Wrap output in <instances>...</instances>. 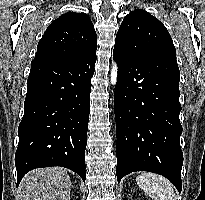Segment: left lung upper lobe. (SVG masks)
I'll list each match as a JSON object with an SVG mask.
<instances>
[{
	"instance_id": "5c2ea615",
	"label": "left lung upper lobe",
	"mask_w": 205,
	"mask_h": 200,
	"mask_svg": "<svg viewBox=\"0 0 205 200\" xmlns=\"http://www.w3.org/2000/svg\"><path fill=\"white\" fill-rule=\"evenodd\" d=\"M114 48L137 57L161 52L176 53L166 27L145 10H135L125 16Z\"/></svg>"
}]
</instances>
